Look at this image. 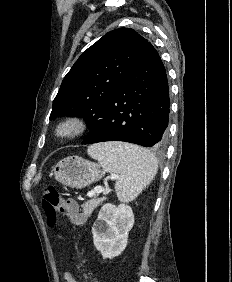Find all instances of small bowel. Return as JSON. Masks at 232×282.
Listing matches in <instances>:
<instances>
[{
    "label": "small bowel",
    "mask_w": 232,
    "mask_h": 282,
    "mask_svg": "<svg viewBox=\"0 0 232 282\" xmlns=\"http://www.w3.org/2000/svg\"><path fill=\"white\" fill-rule=\"evenodd\" d=\"M64 279L66 282H83V279L81 278V276H77L76 278L73 276L72 273H70L69 271H65L64 273Z\"/></svg>",
    "instance_id": "obj_1"
}]
</instances>
